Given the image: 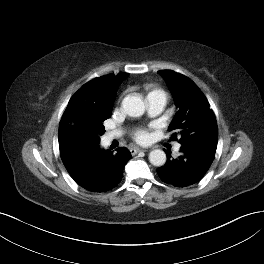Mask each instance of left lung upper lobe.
<instances>
[{
    "instance_id": "5c2ea615",
    "label": "left lung upper lobe",
    "mask_w": 264,
    "mask_h": 264,
    "mask_svg": "<svg viewBox=\"0 0 264 264\" xmlns=\"http://www.w3.org/2000/svg\"><path fill=\"white\" fill-rule=\"evenodd\" d=\"M165 80L178 108L169 131L181 145H206L217 148L218 127L210 105L195 83L170 70L158 72Z\"/></svg>"
}]
</instances>
